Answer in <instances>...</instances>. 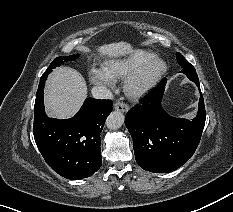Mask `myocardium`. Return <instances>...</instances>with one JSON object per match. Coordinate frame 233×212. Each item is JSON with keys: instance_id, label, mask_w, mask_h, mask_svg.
Returning <instances> with one entry per match:
<instances>
[{"instance_id": "f54148a6", "label": "myocardium", "mask_w": 233, "mask_h": 212, "mask_svg": "<svg viewBox=\"0 0 233 212\" xmlns=\"http://www.w3.org/2000/svg\"><path fill=\"white\" fill-rule=\"evenodd\" d=\"M166 69V62L162 58H151L128 75L125 81L126 93L134 99L145 96L158 84Z\"/></svg>"}]
</instances>
